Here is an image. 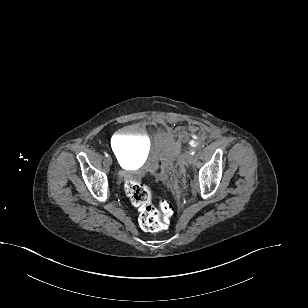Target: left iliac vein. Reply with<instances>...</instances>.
I'll list each match as a JSON object with an SVG mask.
<instances>
[{"instance_id":"4c4485c4","label":"left iliac vein","mask_w":308,"mask_h":308,"mask_svg":"<svg viewBox=\"0 0 308 308\" xmlns=\"http://www.w3.org/2000/svg\"><path fill=\"white\" fill-rule=\"evenodd\" d=\"M193 155L190 152H185L182 157V161L185 165H189L193 162Z\"/></svg>"}]
</instances>
